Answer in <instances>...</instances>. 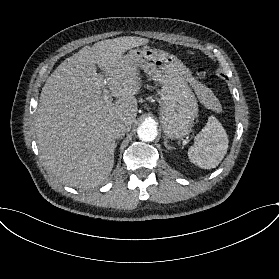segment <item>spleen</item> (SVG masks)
Wrapping results in <instances>:
<instances>
[{"mask_svg": "<svg viewBox=\"0 0 279 279\" xmlns=\"http://www.w3.org/2000/svg\"><path fill=\"white\" fill-rule=\"evenodd\" d=\"M199 98L206 108L221 112V104L210 89L203 87ZM228 143L225 129L215 117L211 116L206 126L195 136L194 145L188 150V157L200 168H215L226 155Z\"/></svg>", "mask_w": 279, "mask_h": 279, "instance_id": "spleen-1", "label": "spleen"}]
</instances>
